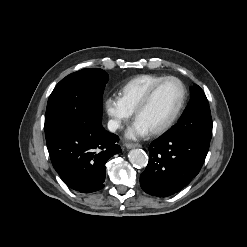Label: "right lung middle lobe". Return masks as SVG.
I'll list each match as a JSON object with an SVG mask.
<instances>
[{"label": "right lung middle lobe", "mask_w": 247, "mask_h": 247, "mask_svg": "<svg viewBox=\"0 0 247 247\" xmlns=\"http://www.w3.org/2000/svg\"><path fill=\"white\" fill-rule=\"evenodd\" d=\"M108 74L99 68L74 72L51 93L45 114V134L82 124L101 122L102 95Z\"/></svg>", "instance_id": "obj_1"}]
</instances>
